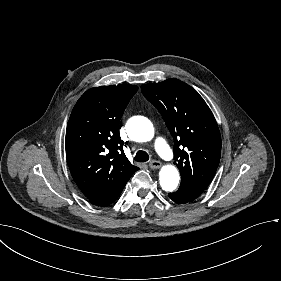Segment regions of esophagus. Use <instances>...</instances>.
<instances>
[{
	"mask_svg": "<svg viewBox=\"0 0 281 281\" xmlns=\"http://www.w3.org/2000/svg\"><path fill=\"white\" fill-rule=\"evenodd\" d=\"M161 165L162 164H161L160 161H155V160H153L149 163V166H150L151 169H158V168L161 167Z\"/></svg>",
	"mask_w": 281,
	"mask_h": 281,
	"instance_id": "1",
	"label": "esophagus"
}]
</instances>
